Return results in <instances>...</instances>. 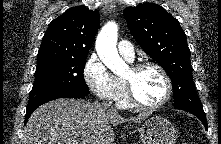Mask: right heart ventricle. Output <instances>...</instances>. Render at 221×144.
<instances>
[{
	"instance_id": "right-heart-ventricle-1",
	"label": "right heart ventricle",
	"mask_w": 221,
	"mask_h": 144,
	"mask_svg": "<svg viewBox=\"0 0 221 144\" xmlns=\"http://www.w3.org/2000/svg\"><path fill=\"white\" fill-rule=\"evenodd\" d=\"M118 81L120 82V85H121V93L118 96V98L116 99L117 105L120 108H130L132 105L130 104V102L128 101V98H127V93H126V87H125L124 80L123 79H118Z\"/></svg>"
}]
</instances>
